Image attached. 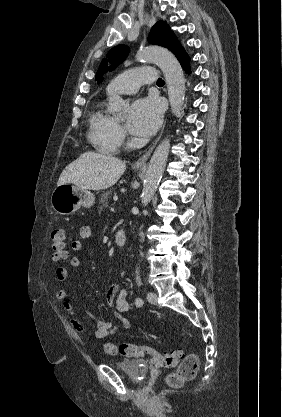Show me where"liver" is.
Returning <instances> with one entry per match:
<instances>
[{
  "label": "liver",
  "mask_w": 282,
  "mask_h": 417,
  "mask_svg": "<svg viewBox=\"0 0 282 417\" xmlns=\"http://www.w3.org/2000/svg\"><path fill=\"white\" fill-rule=\"evenodd\" d=\"M125 168V160H120L110 154H99V152L88 150L64 168L57 184L59 186V184L71 182L80 188L102 190V188L113 186Z\"/></svg>",
  "instance_id": "liver-1"
}]
</instances>
